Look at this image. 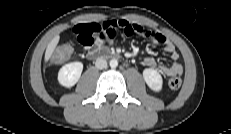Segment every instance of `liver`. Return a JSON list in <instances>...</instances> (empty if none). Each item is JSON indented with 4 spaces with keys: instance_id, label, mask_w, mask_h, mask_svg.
Here are the masks:
<instances>
[{
    "instance_id": "1",
    "label": "liver",
    "mask_w": 231,
    "mask_h": 134,
    "mask_svg": "<svg viewBox=\"0 0 231 134\" xmlns=\"http://www.w3.org/2000/svg\"><path fill=\"white\" fill-rule=\"evenodd\" d=\"M60 36L56 35L47 45L46 52H45V61H49L51 58L58 42H59Z\"/></svg>"
}]
</instances>
